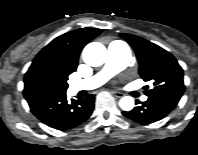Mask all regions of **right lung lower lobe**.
Wrapping results in <instances>:
<instances>
[{
    "instance_id": "obj_1",
    "label": "right lung lower lobe",
    "mask_w": 198,
    "mask_h": 155,
    "mask_svg": "<svg viewBox=\"0 0 198 155\" xmlns=\"http://www.w3.org/2000/svg\"><path fill=\"white\" fill-rule=\"evenodd\" d=\"M94 95L67 100L65 93L45 94L28 99L32 113L57 130L74 128L87 120L94 109Z\"/></svg>"
}]
</instances>
